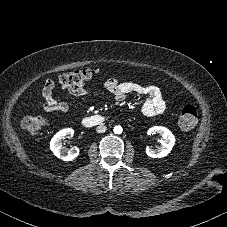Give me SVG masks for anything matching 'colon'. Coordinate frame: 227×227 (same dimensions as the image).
Segmentation results:
<instances>
[{
    "mask_svg": "<svg viewBox=\"0 0 227 227\" xmlns=\"http://www.w3.org/2000/svg\"><path fill=\"white\" fill-rule=\"evenodd\" d=\"M98 73L97 68H83L72 72L62 73L59 76L58 83L62 89L73 91L82 88L86 83L90 82ZM197 123V111L194 106L186 105L178 118V128L182 131L192 129ZM45 121L39 116H27L22 119V127L30 135L39 134Z\"/></svg>",
    "mask_w": 227,
    "mask_h": 227,
    "instance_id": "5ec220e1",
    "label": "colon"
}]
</instances>
